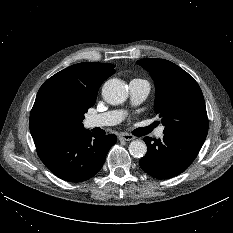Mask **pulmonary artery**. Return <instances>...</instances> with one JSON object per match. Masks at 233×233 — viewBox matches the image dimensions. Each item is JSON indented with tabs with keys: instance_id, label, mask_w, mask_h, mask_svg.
<instances>
[{
	"instance_id": "e3ab8cb5",
	"label": "pulmonary artery",
	"mask_w": 233,
	"mask_h": 233,
	"mask_svg": "<svg viewBox=\"0 0 233 233\" xmlns=\"http://www.w3.org/2000/svg\"><path fill=\"white\" fill-rule=\"evenodd\" d=\"M150 90L148 81L144 79H133L129 83L130 98L134 104H140L143 102ZM125 112L121 110L109 111L103 114L90 116L87 119V126L90 128L94 127H105L113 126L120 123L125 117ZM164 134V127H160L155 135L161 138Z\"/></svg>"
}]
</instances>
